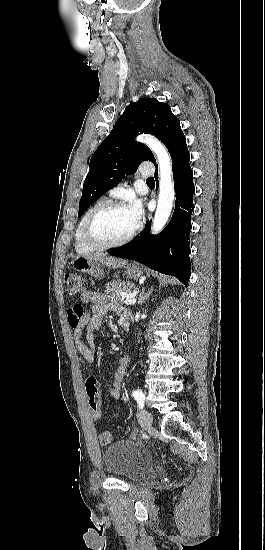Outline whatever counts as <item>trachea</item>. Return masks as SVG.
Returning a JSON list of instances; mask_svg holds the SVG:
<instances>
[{
	"label": "trachea",
	"mask_w": 265,
	"mask_h": 550,
	"mask_svg": "<svg viewBox=\"0 0 265 550\" xmlns=\"http://www.w3.org/2000/svg\"><path fill=\"white\" fill-rule=\"evenodd\" d=\"M147 183H153L154 182V178L152 177H149L147 180H146Z\"/></svg>",
	"instance_id": "trachea-1"
}]
</instances>
